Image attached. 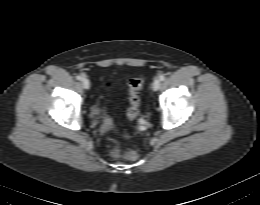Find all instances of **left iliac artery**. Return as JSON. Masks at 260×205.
<instances>
[{"instance_id": "44dca946", "label": "left iliac artery", "mask_w": 260, "mask_h": 205, "mask_svg": "<svg viewBox=\"0 0 260 205\" xmlns=\"http://www.w3.org/2000/svg\"><path fill=\"white\" fill-rule=\"evenodd\" d=\"M159 79H160L161 81H164V80H165V76H164V75H160V76H159Z\"/></svg>"}]
</instances>
